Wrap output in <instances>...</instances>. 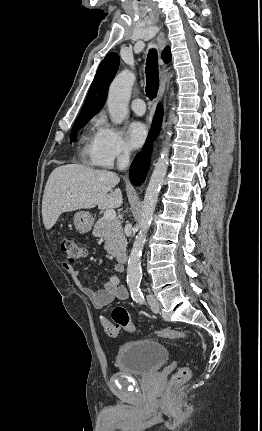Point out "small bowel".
Listing matches in <instances>:
<instances>
[{
  "label": "small bowel",
  "mask_w": 262,
  "mask_h": 431,
  "mask_svg": "<svg viewBox=\"0 0 262 431\" xmlns=\"http://www.w3.org/2000/svg\"><path fill=\"white\" fill-rule=\"evenodd\" d=\"M65 269L70 274L74 284L83 294L90 298L92 304L97 309H103L114 301H124L128 298L127 289L119 285V281L116 277L105 281L97 291H92L84 285L74 266L67 264L65 265ZM117 270H121L120 267H118Z\"/></svg>",
  "instance_id": "obj_1"
}]
</instances>
